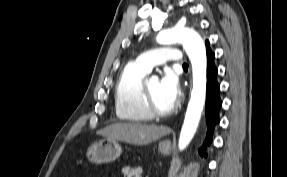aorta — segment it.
<instances>
[{"mask_svg": "<svg viewBox=\"0 0 287 177\" xmlns=\"http://www.w3.org/2000/svg\"><path fill=\"white\" fill-rule=\"evenodd\" d=\"M157 42L163 45L182 43L192 65L193 88L178 140V148L182 151L196 133L205 104L207 82L205 44L197 32L180 27L161 32L157 36Z\"/></svg>", "mask_w": 287, "mask_h": 177, "instance_id": "762f6f07", "label": "aorta"}]
</instances>
